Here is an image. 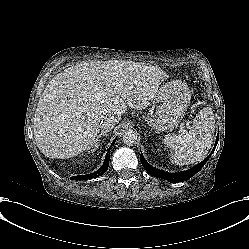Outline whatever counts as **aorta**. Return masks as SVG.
I'll return each mask as SVG.
<instances>
[{
	"label": "aorta",
	"mask_w": 249,
	"mask_h": 249,
	"mask_svg": "<svg viewBox=\"0 0 249 249\" xmlns=\"http://www.w3.org/2000/svg\"><path fill=\"white\" fill-rule=\"evenodd\" d=\"M138 140L137 134L133 130H125L122 133V142L127 146H132L136 144Z\"/></svg>",
	"instance_id": "aorta-1"
}]
</instances>
